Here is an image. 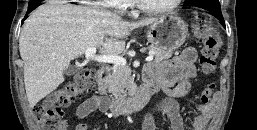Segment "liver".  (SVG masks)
<instances>
[{
  "mask_svg": "<svg viewBox=\"0 0 257 130\" xmlns=\"http://www.w3.org/2000/svg\"><path fill=\"white\" fill-rule=\"evenodd\" d=\"M157 18L138 22L88 7L51 0L38 7L25 21L19 39L24 61V83L29 106L33 108L64 82V71L89 48L102 55H119L125 49L123 38L134 29Z\"/></svg>",
  "mask_w": 257,
  "mask_h": 130,
  "instance_id": "obj_1",
  "label": "liver"
}]
</instances>
